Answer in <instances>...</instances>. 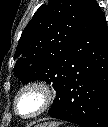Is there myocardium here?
I'll return each instance as SVG.
<instances>
[{"label":"myocardium","instance_id":"myocardium-1","mask_svg":"<svg viewBox=\"0 0 108 127\" xmlns=\"http://www.w3.org/2000/svg\"><path fill=\"white\" fill-rule=\"evenodd\" d=\"M29 92L37 93L40 97V103L34 111L30 113H23L19 109V102L20 99ZM54 98L55 92L52 86L44 80L35 79L25 83L19 88L14 96L13 108L16 114L19 115L21 118L31 119L39 116L40 114L48 110L49 107L52 105Z\"/></svg>","mask_w":108,"mask_h":127}]
</instances>
